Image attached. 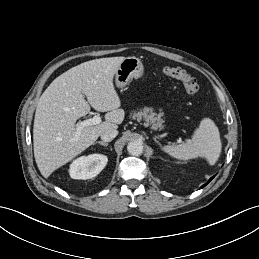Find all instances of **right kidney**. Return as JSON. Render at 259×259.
Listing matches in <instances>:
<instances>
[{
	"mask_svg": "<svg viewBox=\"0 0 259 259\" xmlns=\"http://www.w3.org/2000/svg\"><path fill=\"white\" fill-rule=\"evenodd\" d=\"M108 158L102 154H91L74 160L69 169L73 179H91L97 176L106 166Z\"/></svg>",
	"mask_w": 259,
	"mask_h": 259,
	"instance_id": "obj_1",
	"label": "right kidney"
}]
</instances>
